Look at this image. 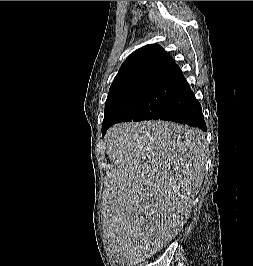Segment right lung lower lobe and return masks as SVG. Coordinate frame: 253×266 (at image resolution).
<instances>
[{"label": "right lung lower lobe", "mask_w": 253, "mask_h": 266, "mask_svg": "<svg viewBox=\"0 0 253 266\" xmlns=\"http://www.w3.org/2000/svg\"><path fill=\"white\" fill-rule=\"evenodd\" d=\"M158 119L187 124L207 131L201 105L185 78L174 85L169 106L166 112ZM115 123L118 122L111 123L104 127L102 129V135L104 136L106 130Z\"/></svg>", "instance_id": "1"}]
</instances>
